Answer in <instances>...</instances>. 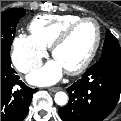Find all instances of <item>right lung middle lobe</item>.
Wrapping results in <instances>:
<instances>
[{
    "instance_id": "dd1d6c3e",
    "label": "right lung middle lobe",
    "mask_w": 121,
    "mask_h": 121,
    "mask_svg": "<svg viewBox=\"0 0 121 121\" xmlns=\"http://www.w3.org/2000/svg\"><path fill=\"white\" fill-rule=\"evenodd\" d=\"M25 12L23 8H11L1 12V56H10L17 23Z\"/></svg>"
}]
</instances>
